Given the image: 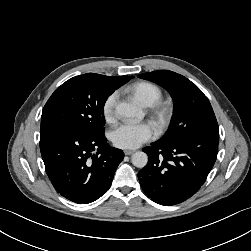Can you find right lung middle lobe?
Wrapping results in <instances>:
<instances>
[{
    "mask_svg": "<svg viewBox=\"0 0 251 251\" xmlns=\"http://www.w3.org/2000/svg\"><path fill=\"white\" fill-rule=\"evenodd\" d=\"M116 89L103 75L94 73L67 80L54 91L44 106L41 130L62 126L84 134H103V107Z\"/></svg>",
    "mask_w": 251,
    "mask_h": 251,
    "instance_id": "right-lung-middle-lobe-1",
    "label": "right lung middle lobe"
}]
</instances>
